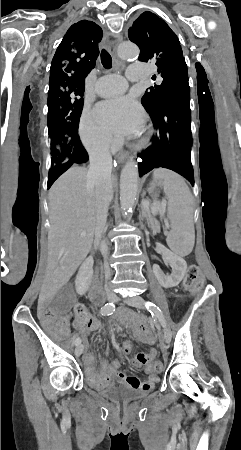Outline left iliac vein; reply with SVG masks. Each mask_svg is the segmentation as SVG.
<instances>
[{"instance_id":"obj_1","label":"left iliac vein","mask_w":241,"mask_h":450,"mask_svg":"<svg viewBox=\"0 0 241 450\" xmlns=\"http://www.w3.org/2000/svg\"><path fill=\"white\" fill-rule=\"evenodd\" d=\"M122 298L118 297L117 300H121ZM128 305H131L133 307L139 308V309H143L144 308V300L142 297L140 296H136L133 298H127V299H123ZM171 340V331L168 327L164 328V335L161 338V343L163 344V346H166L167 344L170 343Z\"/></svg>"}]
</instances>
